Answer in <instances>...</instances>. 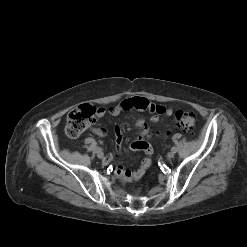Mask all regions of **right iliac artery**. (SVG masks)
I'll use <instances>...</instances> for the list:
<instances>
[{"instance_id": "right-iliac-artery-1", "label": "right iliac artery", "mask_w": 247, "mask_h": 247, "mask_svg": "<svg viewBox=\"0 0 247 247\" xmlns=\"http://www.w3.org/2000/svg\"><path fill=\"white\" fill-rule=\"evenodd\" d=\"M102 149L100 147H96V151H101Z\"/></svg>"}]
</instances>
